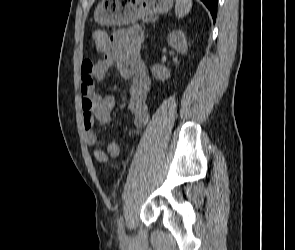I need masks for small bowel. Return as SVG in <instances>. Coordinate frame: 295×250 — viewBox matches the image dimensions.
I'll use <instances>...</instances> for the list:
<instances>
[{
  "instance_id": "small-bowel-1",
  "label": "small bowel",
  "mask_w": 295,
  "mask_h": 250,
  "mask_svg": "<svg viewBox=\"0 0 295 250\" xmlns=\"http://www.w3.org/2000/svg\"><path fill=\"white\" fill-rule=\"evenodd\" d=\"M143 40L144 31L140 27L117 30L111 35L106 45L99 49L103 52L100 60L83 61L81 96L85 137L89 146L96 147L100 144L95 132L96 124L107 125L116 105L112 95L101 96L95 91L96 83L102 80L111 69H116L123 78L131 81L128 108L133 116L134 132H138L146 125L149 117L147 99L151 79L140 53ZM108 150L113 156L119 153L115 142L108 144ZM101 155L105 153L100 150L95 152L96 158Z\"/></svg>"
}]
</instances>
